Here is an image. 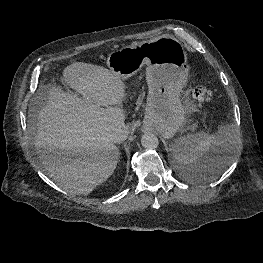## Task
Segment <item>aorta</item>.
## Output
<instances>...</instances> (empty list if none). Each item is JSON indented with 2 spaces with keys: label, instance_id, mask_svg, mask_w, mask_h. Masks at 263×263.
Segmentation results:
<instances>
[{
  "label": "aorta",
  "instance_id": "aorta-1",
  "mask_svg": "<svg viewBox=\"0 0 263 263\" xmlns=\"http://www.w3.org/2000/svg\"><path fill=\"white\" fill-rule=\"evenodd\" d=\"M141 144L145 149L153 150L158 147L159 140L155 134L147 132L144 135H142Z\"/></svg>",
  "mask_w": 263,
  "mask_h": 263
}]
</instances>
